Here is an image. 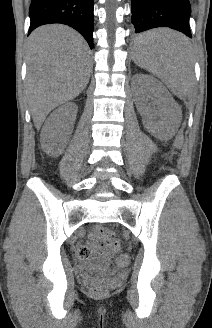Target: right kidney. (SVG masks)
Returning <instances> with one entry per match:
<instances>
[{
  "instance_id": "1",
  "label": "right kidney",
  "mask_w": 212,
  "mask_h": 328,
  "mask_svg": "<svg viewBox=\"0 0 212 328\" xmlns=\"http://www.w3.org/2000/svg\"><path fill=\"white\" fill-rule=\"evenodd\" d=\"M77 110V105L72 102L56 109L43 126L41 140L52 141L55 138L67 140L72 133Z\"/></svg>"
}]
</instances>
